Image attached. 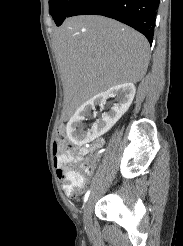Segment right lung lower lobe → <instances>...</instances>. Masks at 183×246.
I'll use <instances>...</instances> for the list:
<instances>
[{"instance_id": "obj_1", "label": "right lung lower lobe", "mask_w": 183, "mask_h": 246, "mask_svg": "<svg viewBox=\"0 0 183 246\" xmlns=\"http://www.w3.org/2000/svg\"><path fill=\"white\" fill-rule=\"evenodd\" d=\"M160 0H79L67 17L103 15L139 31L152 44Z\"/></svg>"}]
</instances>
